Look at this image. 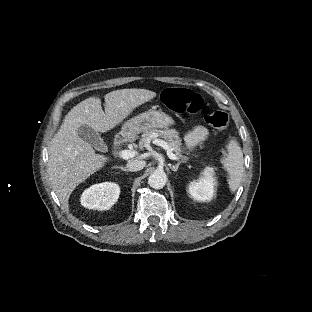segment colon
Wrapping results in <instances>:
<instances>
[{
    "instance_id": "colon-1",
    "label": "colon",
    "mask_w": 312,
    "mask_h": 312,
    "mask_svg": "<svg viewBox=\"0 0 312 312\" xmlns=\"http://www.w3.org/2000/svg\"><path fill=\"white\" fill-rule=\"evenodd\" d=\"M163 100L164 105L175 113L186 115L196 114L203 107L202 98L190 89L168 88L165 90ZM204 120L216 128L225 129L228 115L222 111H212L205 114Z\"/></svg>"
}]
</instances>
